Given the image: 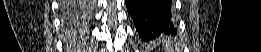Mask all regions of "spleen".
I'll use <instances>...</instances> for the list:
<instances>
[{
	"label": "spleen",
	"instance_id": "3e777b00",
	"mask_svg": "<svg viewBox=\"0 0 261 52\" xmlns=\"http://www.w3.org/2000/svg\"><path fill=\"white\" fill-rule=\"evenodd\" d=\"M165 50L166 52H171L172 48H171V45L169 43H165Z\"/></svg>",
	"mask_w": 261,
	"mask_h": 52
}]
</instances>
